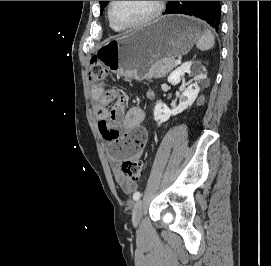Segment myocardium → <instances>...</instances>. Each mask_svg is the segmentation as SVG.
<instances>
[{
  "label": "myocardium",
  "instance_id": "obj_1",
  "mask_svg": "<svg viewBox=\"0 0 271 266\" xmlns=\"http://www.w3.org/2000/svg\"><path fill=\"white\" fill-rule=\"evenodd\" d=\"M114 3H115V1H110L109 5H108V9H107L108 19L114 27H116L120 30L135 29V28L145 26L149 23H152L161 15V13L163 12V9H164V1H154V9L147 17H145L144 19H142L136 23L122 24V23L117 22L113 17L112 9H113Z\"/></svg>",
  "mask_w": 271,
  "mask_h": 266
}]
</instances>
